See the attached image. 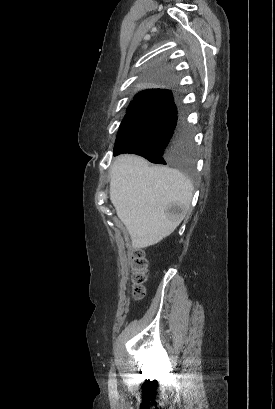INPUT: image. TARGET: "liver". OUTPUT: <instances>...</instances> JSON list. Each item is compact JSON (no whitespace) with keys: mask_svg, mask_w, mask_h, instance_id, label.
<instances>
[{"mask_svg":"<svg viewBox=\"0 0 275 409\" xmlns=\"http://www.w3.org/2000/svg\"><path fill=\"white\" fill-rule=\"evenodd\" d=\"M192 190V180L177 168L149 166L136 154H119L111 166L110 200L135 249L157 245L175 231L182 219L173 223L165 209L176 202L188 211Z\"/></svg>","mask_w":275,"mask_h":409,"instance_id":"1","label":"liver"}]
</instances>
